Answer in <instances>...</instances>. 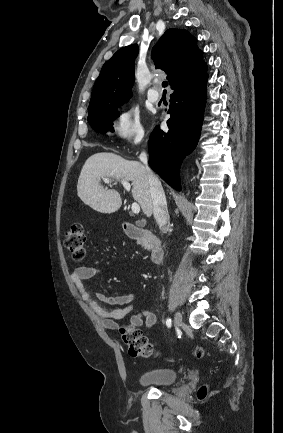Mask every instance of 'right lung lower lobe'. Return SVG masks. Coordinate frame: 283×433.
Returning <instances> with one entry per match:
<instances>
[{"label":"right lung lower lobe","instance_id":"98d812e1","mask_svg":"<svg viewBox=\"0 0 283 433\" xmlns=\"http://www.w3.org/2000/svg\"><path fill=\"white\" fill-rule=\"evenodd\" d=\"M207 79L206 75L187 87L176 88L170 96L169 131L156 126L149 139V165L178 191L181 162L194 150L200 137Z\"/></svg>","mask_w":283,"mask_h":433}]
</instances>
